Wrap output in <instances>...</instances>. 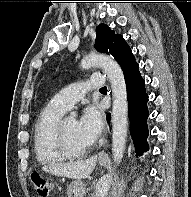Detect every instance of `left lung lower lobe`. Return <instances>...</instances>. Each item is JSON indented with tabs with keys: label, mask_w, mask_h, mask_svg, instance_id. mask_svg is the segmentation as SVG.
I'll return each mask as SVG.
<instances>
[{
	"label": "left lung lower lobe",
	"mask_w": 191,
	"mask_h": 197,
	"mask_svg": "<svg viewBox=\"0 0 191 197\" xmlns=\"http://www.w3.org/2000/svg\"><path fill=\"white\" fill-rule=\"evenodd\" d=\"M123 73L127 86L131 136L134 141L136 153L140 156L149 149L146 142L148 136V109L146 105L148 95L145 89V82L139 73V66L126 70ZM107 120H110V114H107Z\"/></svg>",
	"instance_id": "0a47b994"
}]
</instances>
